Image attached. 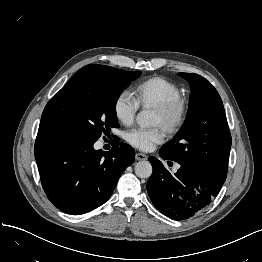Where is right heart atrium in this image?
<instances>
[{"instance_id":"1","label":"right heart atrium","mask_w":262,"mask_h":262,"mask_svg":"<svg viewBox=\"0 0 262 262\" xmlns=\"http://www.w3.org/2000/svg\"><path fill=\"white\" fill-rule=\"evenodd\" d=\"M138 109V102L128 91L121 92L114 102V114L125 125L132 123Z\"/></svg>"}]
</instances>
